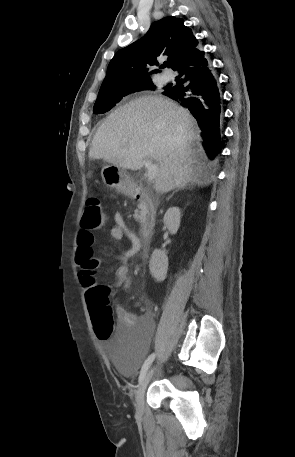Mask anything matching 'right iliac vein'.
<instances>
[{"mask_svg":"<svg viewBox=\"0 0 295 457\" xmlns=\"http://www.w3.org/2000/svg\"><path fill=\"white\" fill-rule=\"evenodd\" d=\"M156 370V367L153 366L148 373L145 375L143 381L140 383L137 393H136V399H135V406L138 412H142L144 409V396H145V391L146 388L154 375V372Z\"/></svg>","mask_w":295,"mask_h":457,"instance_id":"obj_1","label":"right iliac vein"}]
</instances>
